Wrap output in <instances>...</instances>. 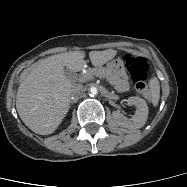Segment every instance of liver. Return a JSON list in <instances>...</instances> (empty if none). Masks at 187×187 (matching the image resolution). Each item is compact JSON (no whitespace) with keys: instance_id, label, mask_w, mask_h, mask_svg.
<instances>
[{"instance_id":"1","label":"liver","mask_w":187,"mask_h":187,"mask_svg":"<svg viewBox=\"0 0 187 187\" xmlns=\"http://www.w3.org/2000/svg\"><path fill=\"white\" fill-rule=\"evenodd\" d=\"M117 54L114 49L89 52L91 63L100 67ZM85 52L73 51L47 57L35 63L18 87L16 108L21 120L33 132L52 134L70 106L72 82L64 69L79 72L85 65Z\"/></svg>"}]
</instances>
